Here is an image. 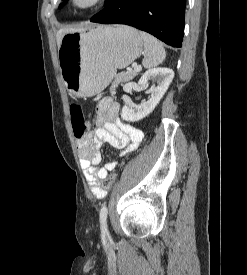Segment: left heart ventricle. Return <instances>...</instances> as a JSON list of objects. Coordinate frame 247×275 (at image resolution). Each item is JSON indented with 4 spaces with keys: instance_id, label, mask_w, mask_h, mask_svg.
<instances>
[{
    "instance_id": "left-heart-ventricle-1",
    "label": "left heart ventricle",
    "mask_w": 247,
    "mask_h": 275,
    "mask_svg": "<svg viewBox=\"0 0 247 275\" xmlns=\"http://www.w3.org/2000/svg\"><path fill=\"white\" fill-rule=\"evenodd\" d=\"M79 4L84 5L88 3L90 0H77Z\"/></svg>"
}]
</instances>
